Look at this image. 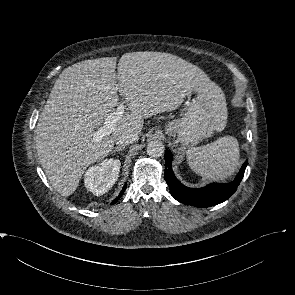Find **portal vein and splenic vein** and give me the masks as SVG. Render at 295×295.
Listing matches in <instances>:
<instances>
[{"label": "portal vein and splenic vein", "instance_id": "18ae733b", "mask_svg": "<svg viewBox=\"0 0 295 295\" xmlns=\"http://www.w3.org/2000/svg\"><path fill=\"white\" fill-rule=\"evenodd\" d=\"M126 106L125 102H122L120 105H118L115 112L111 113L105 118L104 125L100 127L95 133L94 136L97 139H101L109 134L112 133V131L115 130L117 122L122 118L124 112H125Z\"/></svg>", "mask_w": 295, "mask_h": 295}]
</instances>
